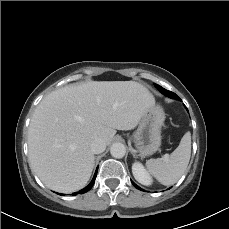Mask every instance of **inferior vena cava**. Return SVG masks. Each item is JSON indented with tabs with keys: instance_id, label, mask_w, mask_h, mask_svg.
Returning a JSON list of instances; mask_svg holds the SVG:
<instances>
[{
	"instance_id": "602c4592",
	"label": "inferior vena cava",
	"mask_w": 229,
	"mask_h": 229,
	"mask_svg": "<svg viewBox=\"0 0 229 229\" xmlns=\"http://www.w3.org/2000/svg\"><path fill=\"white\" fill-rule=\"evenodd\" d=\"M106 149V142L102 138H96L91 143V150L94 154H99L104 152Z\"/></svg>"
}]
</instances>
